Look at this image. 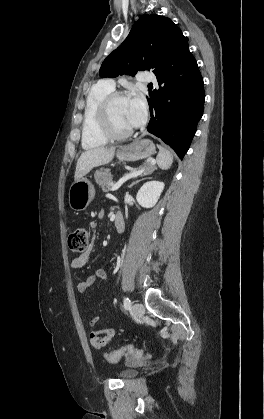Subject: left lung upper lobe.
Masks as SVG:
<instances>
[{
  "label": "left lung upper lobe",
  "instance_id": "obj_1",
  "mask_svg": "<svg viewBox=\"0 0 264 419\" xmlns=\"http://www.w3.org/2000/svg\"><path fill=\"white\" fill-rule=\"evenodd\" d=\"M182 34L170 19L153 15L142 16L132 27L125 41L102 63V77L135 75L139 70L161 68L167 46Z\"/></svg>",
  "mask_w": 264,
  "mask_h": 419
}]
</instances>
